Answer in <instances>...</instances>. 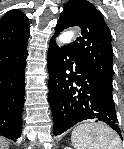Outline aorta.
I'll return each mask as SVG.
<instances>
[{
    "label": "aorta",
    "mask_w": 124,
    "mask_h": 149,
    "mask_svg": "<svg viewBox=\"0 0 124 149\" xmlns=\"http://www.w3.org/2000/svg\"><path fill=\"white\" fill-rule=\"evenodd\" d=\"M74 38V32L66 31L59 36L60 43H69Z\"/></svg>",
    "instance_id": "aorta-1"
}]
</instances>
